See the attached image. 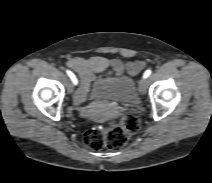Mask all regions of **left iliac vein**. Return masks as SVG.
<instances>
[{"instance_id":"1","label":"left iliac vein","mask_w":212,"mask_h":183,"mask_svg":"<svg viewBox=\"0 0 212 183\" xmlns=\"http://www.w3.org/2000/svg\"><path fill=\"white\" fill-rule=\"evenodd\" d=\"M146 88H147L146 78L143 77L139 81V89L142 94L146 93Z\"/></svg>"}]
</instances>
